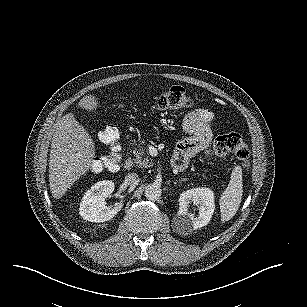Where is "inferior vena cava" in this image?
<instances>
[{
  "label": "inferior vena cava",
  "mask_w": 307,
  "mask_h": 307,
  "mask_svg": "<svg viewBox=\"0 0 307 307\" xmlns=\"http://www.w3.org/2000/svg\"><path fill=\"white\" fill-rule=\"evenodd\" d=\"M137 181H138V175L136 173H128L125 177V182L128 185L135 184L137 183Z\"/></svg>",
  "instance_id": "obj_1"
}]
</instances>
